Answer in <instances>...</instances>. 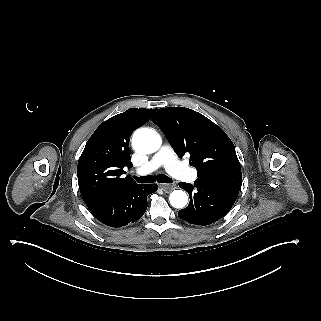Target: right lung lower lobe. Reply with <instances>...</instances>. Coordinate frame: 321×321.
Wrapping results in <instances>:
<instances>
[{
	"label": "right lung lower lobe",
	"instance_id": "obj_1",
	"mask_svg": "<svg viewBox=\"0 0 321 321\" xmlns=\"http://www.w3.org/2000/svg\"><path fill=\"white\" fill-rule=\"evenodd\" d=\"M157 189V184H137L119 193L97 197L85 203L103 224L122 227L143 216L147 209V196Z\"/></svg>",
	"mask_w": 321,
	"mask_h": 321
}]
</instances>
